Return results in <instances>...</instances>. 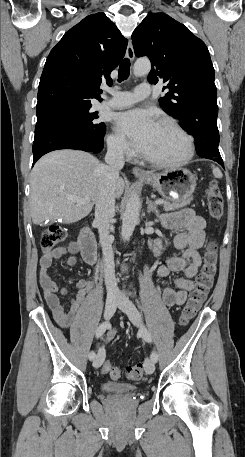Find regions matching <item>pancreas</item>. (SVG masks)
Listing matches in <instances>:
<instances>
[{
	"label": "pancreas",
	"mask_w": 245,
	"mask_h": 457,
	"mask_svg": "<svg viewBox=\"0 0 245 457\" xmlns=\"http://www.w3.org/2000/svg\"><path fill=\"white\" fill-rule=\"evenodd\" d=\"M192 198H187V200H176V202H168V200H163L161 204H163L164 210H175V208H181V206H186V204H190Z\"/></svg>",
	"instance_id": "obj_1"
}]
</instances>
